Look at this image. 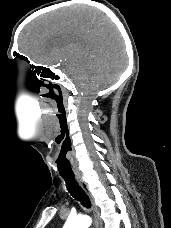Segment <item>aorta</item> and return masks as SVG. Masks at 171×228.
I'll use <instances>...</instances> for the list:
<instances>
[{"label":"aorta","mask_w":171,"mask_h":228,"mask_svg":"<svg viewBox=\"0 0 171 228\" xmlns=\"http://www.w3.org/2000/svg\"><path fill=\"white\" fill-rule=\"evenodd\" d=\"M90 225V217L86 215H78L75 217H69L63 228H89Z\"/></svg>","instance_id":"obj_1"}]
</instances>
